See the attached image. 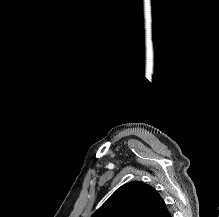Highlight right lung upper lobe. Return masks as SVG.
I'll use <instances>...</instances> for the list:
<instances>
[{
	"label": "right lung upper lobe",
	"instance_id": "right-lung-upper-lobe-1",
	"mask_svg": "<svg viewBox=\"0 0 219 217\" xmlns=\"http://www.w3.org/2000/svg\"><path fill=\"white\" fill-rule=\"evenodd\" d=\"M91 217H171L150 185L132 181L118 188Z\"/></svg>",
	"mask_w": 219,
	"mask_h": 217
}]
</instances>
